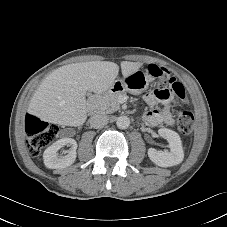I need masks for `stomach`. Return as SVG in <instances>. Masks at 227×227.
I'll return each mask as SVG.
<instances>
[{
    "instance_id": "obj_1",
    "label": "stomach",
    "mask_w": 227,
    "mask_h": 227,
    "mask_svg": "<svg viewBox=\"0 0 227 227\" xmlns=\"http://www.w3.org/2000/svg\"><path fill=\"white\" fill-rule=\"evenodd\" d=\"M151 77L141 70H137L132 74L116 80L111 86L110 91L129 92L131 94H141L148 89Z\"/></svg>"
}]
</instances>
